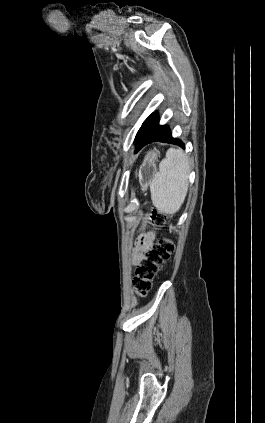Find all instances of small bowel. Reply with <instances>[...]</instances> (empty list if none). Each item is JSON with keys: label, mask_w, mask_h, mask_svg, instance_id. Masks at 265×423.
I'll use <instances>...</instances> for the list:
<instances>
[{"label": "small bowel", "mask_w": 265, "mask_h": 423, "mask_svg": "<svg viewBox=\"0 0 265 423\" xmlns=\"http://www.w3.org/2000/svg\"><path fill=\"white\" fill-rule=\"evenodd\" d=\"M156 233L153 231L146 232L137 239L136 247L131 256V265L136 266L143 257L145 250L154 242Z\"/></svg>", "instance_id": "1"}]
</instances>
